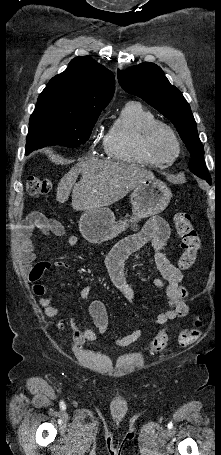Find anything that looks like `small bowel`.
<instances>
[{
	"mask_svg": "<svg viewBox=\"0 0 221 455\" xmlns=\"http://www.w3.org/2000/svg\"><path fill=\"white\" fill-rule=\"evenodd\" d=\"M41 231L46 235L63 236L66 231L64 226L57 220L47 217L42 213L30 214L23 223L19 234V254L23 265L30 267L29 281L32 283L33 292L39 296V304L47 316H56L60 308L54 304L52 296L47 294V287L39 280L44 272L50 268H67L64 261H56L53 264L45 261L35 260L33 233ZM70 246L79 243V237L70 235L67 238ZM151 245L147 255L152 260L160 278L153 280V285L164 292V300L167 308L157 315L156 323L159 326L169 321L185 317L189 308L186 303L188 290L181 271L162 252L163 248L170 244V228L160 217L151 218L146 226L138 233L129 235L116 244L105 258L107 272L115 287L130 301H133L135 294L126 282L125 262L136 254L145 244ZM91 287L85 286L80 292L83 299L90 296ZM89 313L93 319L95 329H85L79 326L73 317L68 318L70 329L73 332L74 341L82 345L86 341H95L104 335L109 329V320L105 305L100 300H93L89 306ZM142 329H136L130 334L114 340V344L126 347L136 342L142 335Z\"/></svg>",
	"mask_w": 221,
	"mask_h": 455,
	"instance_id": "small-bowel-1",
	"label": "small bowel"
}]
</instances>
